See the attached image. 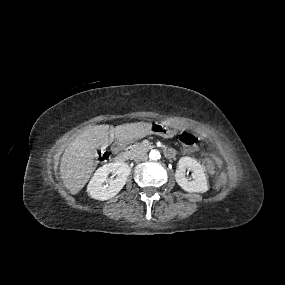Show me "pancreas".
<instances>
[{
  "mask_svg": "<svg viewBox=\"0 0 285 285\" xmlns=\"http://www.w3.org/2000/svg\"><path fill=\"white\" fill-rule=\"evenodd\" d=\"M129 149H130L129 153L136 154V153L148 150V147L144 145L143 143H135L131 145Z\"/></svg>",
  "mask_w": 285,
  "mask_h": 285,
  "instance_id": "cf45deb5",
  "label": "pancreas"
}]
</instances>
